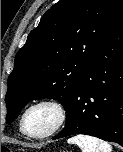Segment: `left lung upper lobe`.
I'll use <instances>...</instances> for the list:
<instances>
[{
    "label": "left lung upper lobe",
    "instance_id": "left-lung-upper-lobe-1",
    "mask_svg": "<svg viewBox=\"0 0 123 152\" xmlns=\"http://www.w3.org/2000/svg\"><path fill=\"white\" fill-rule=\"evenodd\" d=\"M121 5V0H60L42 16L8 78L7 123L31 100L52 98L66 108Z\"/></svg>",
    "mask_w": 123,
    "mask_h": 152
}]
</instances>
